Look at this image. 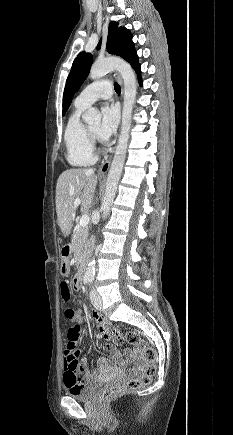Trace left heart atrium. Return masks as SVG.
<instances>
[{"instance_id": "left-heart-atrium-1", "label": "left heart atrium", "mask_w": 233, "mask_h": 435, "mask_svg": "<svg viewBox=\"0 0 233 435\" xmlns=\"http://www.w3.org/2000/svg\"><path fill=\"white\" fill-rule=\"evenodd\" d=\"M119 123V111L115 105H106L102 108V121L98 132L103 142H109L115 134Z\"/></svg>"}]
</instances>
